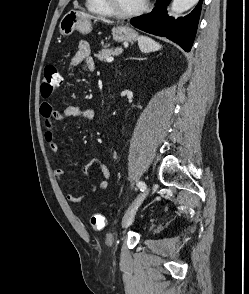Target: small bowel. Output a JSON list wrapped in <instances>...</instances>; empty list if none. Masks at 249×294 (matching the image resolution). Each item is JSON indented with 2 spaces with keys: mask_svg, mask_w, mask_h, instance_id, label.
Masks as SVG:
<instances>
[{
  "mask_svg": "<svg viewBox=\"0 0 249 294\" xmlns=\"http://www.w3.org/2000/svg\"><path fill=\"white\" fill-rule=\"evenodd\" d=\"M83 63L85 67L93 71L95 68L94 61L91 57L90 44L87 41H80L76 51L71 58V66ZM40 113L45 122V140L50 147L51 152L57 156L59 153V145L53 132L54 122L63 121L68 118H77L92 120L95 116V111L89 107H81L75 104H67L62 111L57 110L50 102H43L40 106ZM98 167L102 174V179L98 185L90 181V170L92 167ZM82 175L88 181L90 187L89 192L84 195H77L73 192L67 194V199L75 204L81 203L88 195L97 190L106 189L111 182V173L108 166L98 158H92L82 168ZM54 176L59 184L66 185V176L63 169L57 168L54 170Z\"/></svg>",
  "mask_w": 249,
  "mask_h": 294,
  "instance_id": "1",
  "label": "small bowel"
}]
</instances>
